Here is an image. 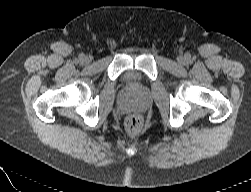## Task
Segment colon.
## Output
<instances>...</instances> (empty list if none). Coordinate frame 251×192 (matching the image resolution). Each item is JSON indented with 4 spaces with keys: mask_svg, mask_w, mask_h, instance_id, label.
I'll return each instance as SVG.
<instances>
[{
    "mask_svg": "<svg viewBox=\"0 0 251 192\" xmlns=\"http://www.w3.org/2000/svg\"><path fill=\"white\" fill-rule=\"evenodd\" d=\"M142 119L140 116L133 114L127 117L125 126L129 133L131 134H137L140 132L142 128Z\"/></svg>",
    "mask_w": 251,
    "mask_h": 192,
    "instance_id": "colon-1",
    "label": "colon"
}]
</instances>
